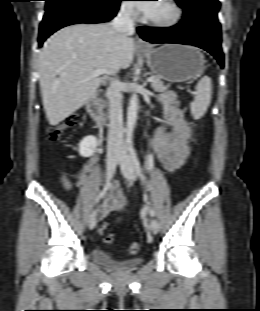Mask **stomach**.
Wrapping results in <instances>:
<instances>
[{
    "label": "stomach",
    "instance_id": "0dacf381",
    "mask_svg": "<svg viewBox=\"0 0 260 311\" xmlns=\"http://www.w3.org/2000/svg\"><path fill=\"white\" fill-rule=\"evenodd\" d=\"M152 73L169 82H184L204 68V56L195 47L165 44L158 48L140 51Z\"/></svg>",
    "mask_w": 260,
    "mask_h": 311
}]
</instances>
